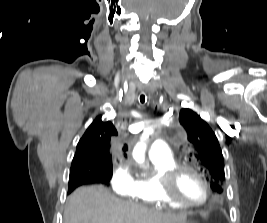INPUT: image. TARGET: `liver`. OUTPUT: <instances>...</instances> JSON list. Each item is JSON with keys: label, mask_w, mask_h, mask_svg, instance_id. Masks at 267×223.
Returning a JSON list of instances; mask_svg holds the SVG:
<instances>
[{"label": "liver", "mask_w": 267, "mask_h": 223, "mask_svg": "<svg viewBox=\"0 0 267 223\" xmlns=\"http://www.w3.org/2000/svg\"><path fill=\"white\" fill-rule=\"evenodd\" d=\"M185 214L160 212L111 195L101 185L81 187L68 199L64 223H184Z\"/></svg>", "instance_id": "6515ba94"}]
</instances>
